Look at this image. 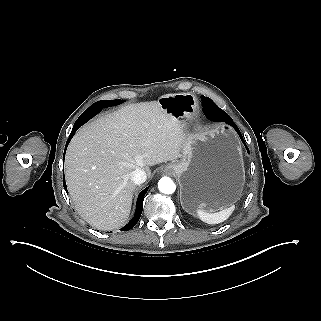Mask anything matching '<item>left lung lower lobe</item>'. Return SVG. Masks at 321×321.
<instances>
[{
    "mask_svg": "<svg viewBox=\"0 0 321 321\" xmlns=\"http://www.w3.org/2000/svg\"><path fill=\"white\" fill-rule=\"evenodd\" d=\"M203 112L206 115V117L208 119H210L211 121H225L226 123H228L231 126H233L235 128V130L237 131V133L239 134V136H240L241 140L243 141L244 145H245L244 139H243L238 127L235 125V123L230 118V116L228 114H226L223 110H221L216 104H214V105H203ZM245 147L247 148L246 145H245ZM247 150H248V148H247Z\"/></svg>",
    "mask_w": 321,
    "mask_h": 321,
    "instance_id": "obj_1",
    "label": "left lung lower lobe"
}]
</instances>
